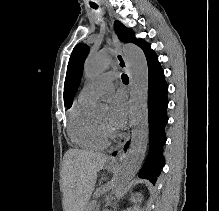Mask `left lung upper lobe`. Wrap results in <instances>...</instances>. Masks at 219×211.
Returning <instances> with one entry per match:
<instances>
[{"label": "left lung upper lobe", "instance_id": "obj_1", "mask_svg": "<svg viewBox=\"0 0 219 211\" xmlns=\"http://www.w3.org/2000/svg\"><path fill=\"white\" fill-rule=\"evenodd\" d=\"M114 26L115 31L121 41L125 43L131 42L137 44L143 49L145 55L153 51L152 49H150V45L148 43L142 41L141 39H136L134 33L120 22L116 21ZM88 52L89 47L85 44L76 45L72 51L65 79V95L67 100V108H70L73 103V98L81 79L84 60Z\"/></svg>", "mask_w": 219, "mask_h": 211}]
</instances>
